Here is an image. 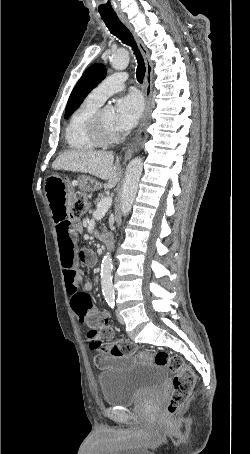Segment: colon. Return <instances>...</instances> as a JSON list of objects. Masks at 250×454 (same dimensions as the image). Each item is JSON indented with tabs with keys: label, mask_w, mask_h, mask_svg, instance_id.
<instances>
[{
	"label": "colon",
	"mask_w": 250,
	"mask_h": 454,
	"mask_svg": "<svg viewBox=\"0 0 250 454\" xmlns=\"http://www.w3.org/2000/svg\"><path fill=\"white\" fill-rule=\"evenodd\" d=\"M90 203L87 196L82 192H76L73 197L71 217L79 219L89 211ZM106 316H92L87 321L90 328L88 333L90 348L103 355L114 357L138 355L147 358L148 350H138L137 346L129 340L111 341L112 328L107 324ZM154 362L160 367H165L172 374L173 390L166 406L169 417L176 415L188 401L195 385V374L184 360L166 351H158L154 354Z\"/></svg>",
	"instance_id": "obj_1"
}]
</instances>
